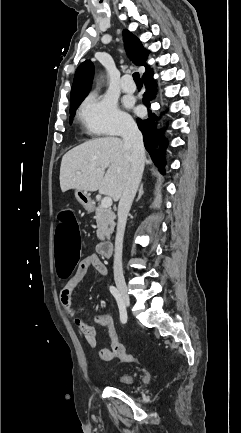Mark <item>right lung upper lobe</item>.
Listing matches in <instances>:
<instances>
[{
	"label": "right lung upper lobe",
	"instance_id": "cb5924a9",
	"mask_svg": "<svg viewBox=\"0 0 241 433\" xmlns=\"http://www.w3.org/2000/svg\"><path fill=\"white\" fill-rule=\"evenodd\" d=\"M123 39L129 58L136 65L145 66L146 71L143 74V77L151 73V69L145 63L148 56V51L142 46L141 41L126 29L123 30ZM93 73L94 66L89 60L81 63L77 68L71 89L70 108L74 107L78 102L83 101V99L89 93Z\"/></svg>",
	"mask_w": 241,
	"mask_h": 433
}]
</instances>
